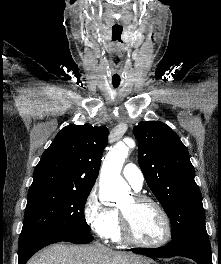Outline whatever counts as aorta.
<instances>
[{"mask_svg":"<svg viewBox=\"0 0 221 264\" xmlns=\"http://www.w3.org/2000/svg\"><path fill=\"white\" fill-rule=\"evenodd\" d=\"M132 146L135 143L131 142ZM129 155V148L124 143H118L105 157L99 179L100 200L104 202H120L127 193L128 184L120 173Z\"/></svg>","mask_w":221,"mask_h":264,"instance_id":"762f6f07","label":"aorta"}]
</instances>
